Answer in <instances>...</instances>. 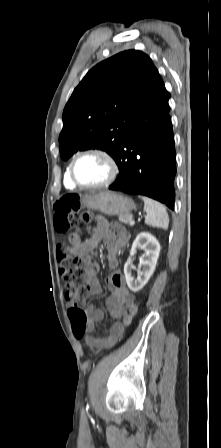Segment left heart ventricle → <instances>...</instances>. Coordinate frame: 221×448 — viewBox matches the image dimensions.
<instances>
[{"label": "left heart ventricle", "mask_w": 221, "mask_h": 448, "mask_svg": "<svg viewBox=\"0 0 221 448\" xmlns=\"http://www.w3.org/2000/svg\"><path fill=\"white\" fill-rule=\"evenodd\" d=\"M75 174L84 184H99L109 177L110 170L102 157L86 155L77 162Z\"/></svg>", "instance_id": "left-heart-ventricle-1"}]
</instances>
